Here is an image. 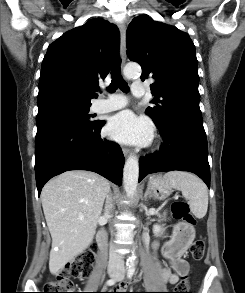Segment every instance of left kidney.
Returning a JSON list of instances; mask_svg holds the SVG:
<instances>
[{"instance_id":"5707ae66","label":"left kidney","mask_w":245,"mask_h":293,"mask_svg":"<svg viewBox=\"0 0 245 293\" xmlns=\"http://www.w3.org/2000/svg\"><path fill=\"white\" fill-rule=\"evenodd\" d=\"M162 231H163V228L161 226H159V225H154L153 226V232H154V234L162 233Z\"/></svg>"}]
</instances>
